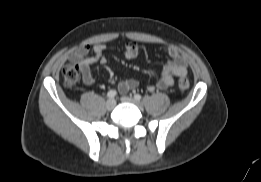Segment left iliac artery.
I'll return each instance as SVG.
<instances>
[{"label":"left iliac artery","instance_id":"1","mask_svg":"<svg viewBox=\"0 0 261 182\" xmlns=\"http://www.w3.org/2000/svg\"><path fill=\"white\" fill-rule=\"evenodd\" d=\"M141 95L140 94H135L134 95V99L137 100V101H140L141 100Z\"/></svg>","mask_w":261,"mask_h":182}]
</instances>
